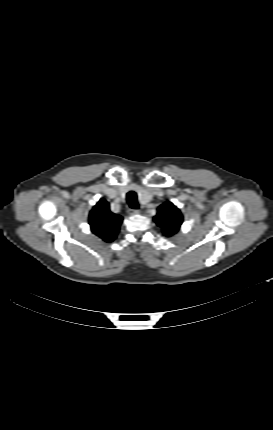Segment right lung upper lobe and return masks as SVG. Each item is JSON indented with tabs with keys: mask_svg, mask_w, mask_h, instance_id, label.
I'll list each match as a JSON object with an SVG mask.
<instances>
[{
	"mask_svg": "<svg viewBox=\"0 0 273 430\" xmlns=\"http://www.w3.org/2000/svg\"><path fill=\"white\" fill-rule=\"evenodd\" d=\"M121 222L122 217L112 213L109 203L104 199H100L89 214L92 232L106 242H111L116 238Z\"/></svg>",
	"mask_w": 273,
	"mask_h": 430,
	"instance_id": "right-lung-upper-lobe-1",
	"label": "right lung upper lobe"
}]
</instances>
